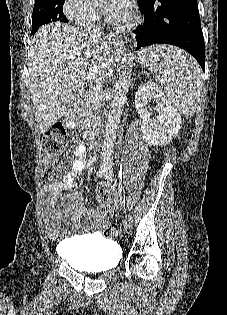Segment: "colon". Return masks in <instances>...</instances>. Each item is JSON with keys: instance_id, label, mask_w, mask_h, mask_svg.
Returning a JSON list of instances; mask_svg holds the SVG:
<instances>
[{"instance_id": "obj_1", "label": "colon", "mask_w": 227, "mask_h": 315, "mask_svg": "<svg viewBox=\"0 0 227 315\" xmlns=\"http://www.w3.org/2000/svg\"><path fill=\"white\" fill-rule=\"evenodd\" d=\"M66 141V129L62 124L50 127L42 138V164L40 168V180L44 184L56 181L63 169L67 167V158H61L64 153ZM99 206L97 209L98 221L104 226V235L114 238L121 235L119 226L110 222V195L107 191L101 190L97 195Z\"/></svg>"}]
</instances>
